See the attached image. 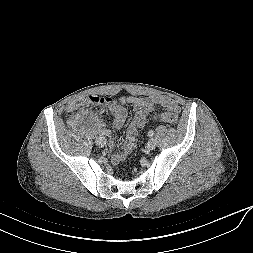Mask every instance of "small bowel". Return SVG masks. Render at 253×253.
Listing matches in <instances>:
<instances>
[{
  "label": "small bowel",
  "mask_w": 253,
  "mask_h": 253,
  "mask_svg": "<svg viewBox=\"0 0 253 253\" xmlns=\"http://www.w3.org/2000/svg\"><path fill=\"white\" fill-rule=\"evenodd\" d=\"M125 104L133 106L135 110V115L126 128L125 142L121 151L114 154L111 159L114 165H117L122 162L127 157V155H129L133 151L136 145L138 131L145 126L147 116L155 108V106H161L164 112L160 114V116L155 117L154 119L162 120L163 115L167 113L177 114L181 110L180 105L176 100L163 95L147 97L130 96L127 98H122L113 107L115 115L113 122L114 130L120 129L126 120L127 112L124 107Z\"/></svg>",
  "instance_id": "obj_1"
}]
</instances>
